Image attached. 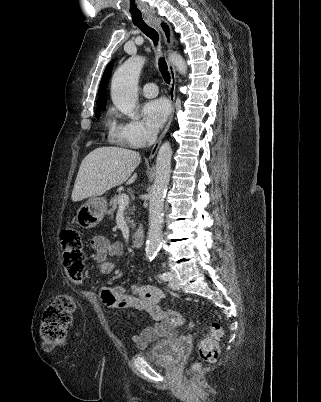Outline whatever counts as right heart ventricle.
Listing matches in <instances>:
<instances>
[{"instance_id":"e07e8e85","label":"right heart ventricle","mask_w":321,"mask_h":402,"mask_svg":"<svg viewBox=\"0 0 321 402\" xmlns=\"http://www.w3.org/2000/svg\"><path fill=\"white\" fill-rule=\"evenodd\" d=\"M110 126L112 127V130L114 129V124L110 122Z\"/></svg>"}]
</instances>
